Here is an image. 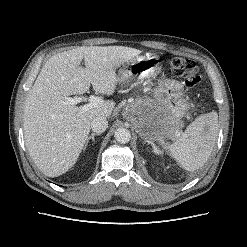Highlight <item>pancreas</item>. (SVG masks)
Listing matches in <instances>:
<instances>
[{
  "label": "pancreas",
  "mask_w": 247,
  "mask_h": 247,
  "mask_svg": "<svg viewBox=\"0 0 247 247\" xmlns=\"http://www.w3.org/2000/svg\"><path fill=\"white\" fill-rule=\"evenodd\" d=\"M133 104L136 105V102L131 103V105H133Z\"/></svg>",
  "instance_id": "cf45deb5"
}]
</instances>
